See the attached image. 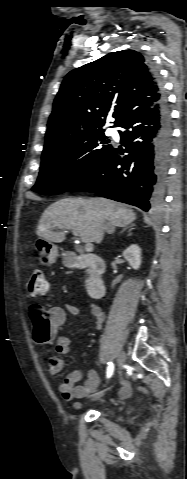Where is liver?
Segmentation results:
<instances>
[{"instance_id": "6515ba94", "label": "liver", "mask_w": 187, "mask_h": 479, "mask_svg": "<svg viewBox=\"0 0 187 479\" xmlns=\"http://www.w3.org/2000/svg\"><path fill=\"white\" fill-rule=\"evenodd\" d=\"M135 220L133 210L105 198H64L44 211L36 234L47 241L61 243L65 240V233L54 230L70 229L83 242L99 244L105 231L112 233L115 227H125Z\"/></svg>"}]
</instances>
